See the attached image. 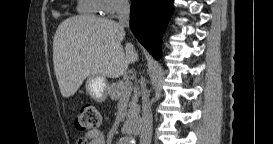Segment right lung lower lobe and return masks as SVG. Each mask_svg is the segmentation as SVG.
Instances as JSON below:
<instances>
[{
    "instance_id": "98d812e1",
    "label": "right lung lower lobe",
    "mask_w": 273,
    "mask_h": 144,
    "mask_svg": "<svg viewBox=\"0 0 273 144\" xmlns=\"http://www.w3.org/2000/svg\"><path fill=\"white\" fill-rule=\"evenodd\" d=\"M173 10V0H132L130 28L140 43L159 59L160 39Z\"/></svg>"
}]
</instances>
